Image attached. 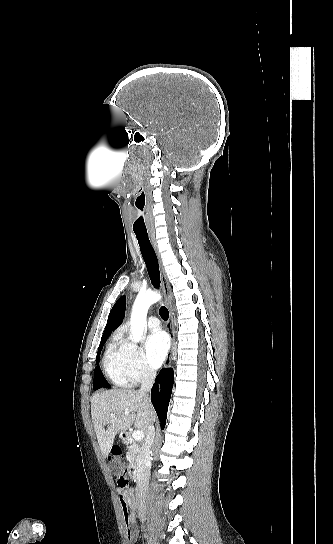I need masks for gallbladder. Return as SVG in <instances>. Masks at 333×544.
I'll use <instances>...</instances> for the list:
<instances>
[{
	"label": "gallbladder",
	"instance_id": "gallbladder-1",
	"mask_svg": "<svg viewBox=\"0 0 333 544\" xmlns=\"http://www.w3.org/2000/svg\"><path fill=\"white\" fill-rule=\"evenodd\" d=\"M109 467H110V470H111L113 475L120 474L122 472V469H123L120 462H112Z\"/></svg>",
	"mask_w": 333,
	"mask_h": 544
}]
</instances>
